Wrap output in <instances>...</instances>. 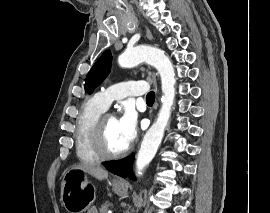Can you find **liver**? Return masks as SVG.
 Instances as JSON below:
<instances>
[{"instance_id": "1", "label": "liver", "mask_w": 270, "mask_h": 213, "mask_svg": "<svg viewBox=\"0 0 270 213\" xmlns=\"http://www.w3.org/2000/svg\"><path fill=\"white\" fill-rule=\"evenodd\" d=\"M72 169L82 170L85 173L90 174L91 176L95 177L98 180H104L108 177V172L102 168L101 166L91 165V164H79L73 166Z\"/></svg>"}]
</instances>
